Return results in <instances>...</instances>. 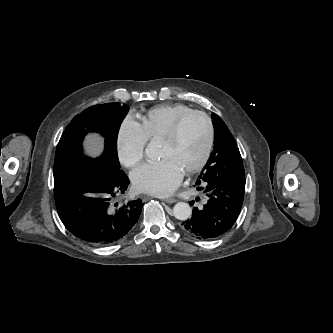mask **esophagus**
Here are the masks:
<instances>
[{
  "label": "esophagus",
  "instance_id": "esophagus-1",
  "mask_svg": "<svg viewBox=\"0 0 333 333\" xmlns=\"http://www.w3.org/2000/svg\"><path fill=\"white\" fill-rule=\"evenodd\" d=\"M142 198L145 199V198H147V196L143 195ZM163 201L171 204V203H175L177 200L175 198H164Z\"/></svg>",
  "mask_w": 333,
  "mask_h": 333
}]
</instances>
